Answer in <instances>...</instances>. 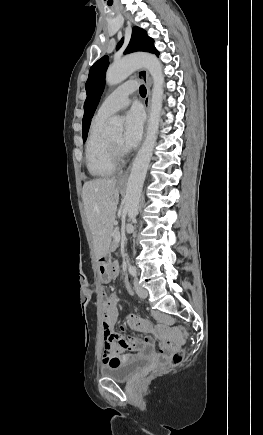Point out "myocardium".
I'll return each instance as SVG.
<instances>
[{
  "label": "myocardium",
  "instance_id": "1",
  "mask_svg": "<svg viewBox=\"0 0 263 435\" xmlns=\"http://www.w3.org/2000/svg\"><path fill=\"white\" fill-rule=\"evenodd\" d=\"M107 146L110 156L115 165H121L123 163L124 152L121 146L115 145L109 138H107Z\"/></svg>",
  "mask_w": 263,
  "mask_h": 435
}]
</instances>
